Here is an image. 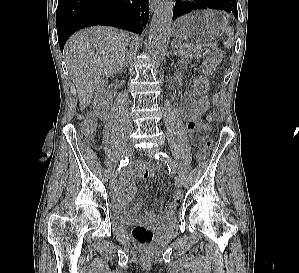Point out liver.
Returning a JSON list of instances; mask_svg holds the SVG:
<instances>
[{"mask_svg":"<svg viewBox=\"0 0 299 273\" xmlns=\"http://www.w3.org/2000/svg\"><path fill=\"white\" fill-rule=\"evenodd\" d=\"M132 38L118 29L92 27L68 39L64 54L81 109L90 104L97 86L121 69Z\"/></svg>","mask_w":299,"mask_h":273,"instance_id":"1","label":"liver"}]
</instances>
